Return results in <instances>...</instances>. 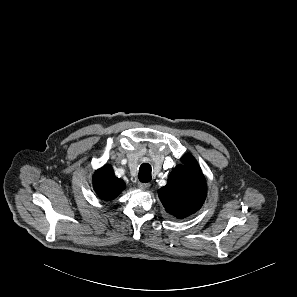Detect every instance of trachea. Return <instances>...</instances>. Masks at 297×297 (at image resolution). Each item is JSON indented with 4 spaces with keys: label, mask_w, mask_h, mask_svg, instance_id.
I'll list each match as a JSON object with an SVG mask.
<instances>
[{
    "label": "trachea",
    "mask_w": 297,
    "mask_h": 297,
    "mask_svg": "<svg viewBox=\"0 0 297 297\" xmlns=\"http://www.w3.org/2000/svg\"><path fill=\"white\" fill-rule=\"evenodd\" d=\"M151 165L143 163L139 168L138 178L142 183H148L151 180Z\"/></svg>",
    "instance_id": "trachea-1"
}]
</instances>
